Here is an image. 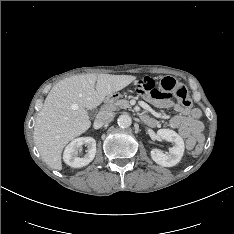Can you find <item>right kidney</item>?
Masks as SVG:
<instances>
[{
    "label": "right kidney",
    "mask_w": 234,
    "mask_h": 234,
    "mask_svg": "<svg viewBox=\"0 0 234 234\" xmlns=\"http://www.w3.org/2000/svg\"><path fill=\"white\" fill-rule=\"evenodd\" d=\"M87 146V153L83 157L78 156V149L82 145ZM96 141L92 137H80L74 139L64 150V162L74 168L88 165L95 157Z\"/></svg>",
    "instance_id": "right-kidney-1"
}]
</instances>
